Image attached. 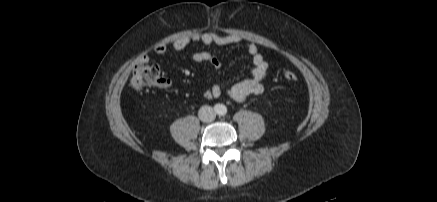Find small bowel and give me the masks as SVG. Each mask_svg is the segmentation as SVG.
I'll return each mask as SVG.
<instances>
[{
  "label": "small bowel",
  "instance_id": "small-bowel-1",
  "mask_svg": "<svg viewBox=\"0 0 437 202\" xmlns=\"http://www.w3.org/2000/svg\"><path fill=\"white\" fill-rule=\"evenodd\" d=\"M243 38L239 35L229 34L222 35L214 31L199 32L187 35L176 39L172 43V48L179 52L185 49L190 43L199 42L204 45L215 44L218 46H227L230 44L240 43ZM154 52L158 55H164L167 52V46L164 44H158L154 47ZM247 52L252 57L253 69L248 78H245L239 82L234 83L227 90L224 89L217 83H214L207 91H205L204 96L208 99L220 97L224 92L231 98L242 101L250 95H258L263 92L262 81L267 76L269 65L265 57L259 52L256 44L251 43L247 46ZM193 62L201 63L208 62L215 70L221 68V61L219 57L208 51H200L192 54L189 57ZM147 61L148 58L145 57ZM170 81L165 79L162 87H168Z\"/></svg>",
  "mask_w": 437,
  "mask_h": 202
}]
</instances>
